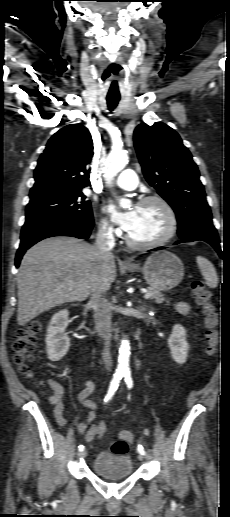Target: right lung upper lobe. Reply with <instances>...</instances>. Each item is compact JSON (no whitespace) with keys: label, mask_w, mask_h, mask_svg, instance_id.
<instances>
[{"label":"right lung upper lobe","mask_w":230,"mask_h":517,"mask_svg":"<svg viewBox=\"0 0 230 517\" xmlns=\"http://www.w3.org/2000/svg\"><path fill=\"white\" fill-rule=\"evenodd\" d=\"M92 155V138L86 127L71 124L60 129L38 160L30 200L82 190L89 184L87 169Z\"/></svg>","instance_id":"right-lung-upper-lobe-1"}]
</instances>
